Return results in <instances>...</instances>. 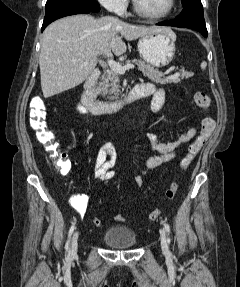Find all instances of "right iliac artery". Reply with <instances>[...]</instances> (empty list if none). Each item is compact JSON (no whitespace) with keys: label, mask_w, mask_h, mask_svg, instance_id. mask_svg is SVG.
Returning a JSON list of instances; mask_svg holds the SVG:
<instances>
[{"label":"right iliac artery","mask_w":240,"mask_h":287,"mask_svg":"<svg viewBox=\"0 0 240 287\" xmlns=\"http://www.w3.org/2000/svg\"><path fill=\"white\" fill-rule=\"evenodd\" d=\"M74 229H75V226L72 225V226L70 227V229H69V232H68V240H67L66 246H65L66 249L69 250V255H70V252H71V250H70V239H71V235H72Z\"/></svg>","instance_id":"obj_1"}]
</instances>
